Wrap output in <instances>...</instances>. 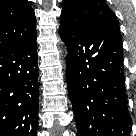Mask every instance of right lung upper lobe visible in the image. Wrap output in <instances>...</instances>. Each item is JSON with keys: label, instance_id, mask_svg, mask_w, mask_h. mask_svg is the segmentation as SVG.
<instances>
[{"label": "right lung upper lobe", "instance_id": "1", "mask_svg": "<svg viewBox=\"0 0 136 136\" xmlns=\"http://www.w3.org/2000/svg\"><path fill=\"white\" fill-rule=\"evenodd\" d=\"M36 19L27 0H0V50L21 45L36 33Z\"/></svg>", "mask_w": 136, "mask_h": 136}]
</instances>
